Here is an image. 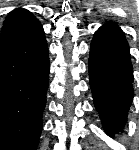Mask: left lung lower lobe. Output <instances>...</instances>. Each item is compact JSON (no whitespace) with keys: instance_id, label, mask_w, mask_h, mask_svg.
<instances>
[{"instance_id":"1","label":"left lung lower lobe","mask_w":139,"mask_h":150,"mask_svg":"<svg viewBox=\"0 0 139 150\" xmlns=\"http://www.w3.org/2000/svg\"><path fill=\"white\" fill-rule=\"evenodd\" d=\"M89 77L94 104L106 133L122 132L133 101L129 46L115 23L99 28L90 46Z\"/></svg>"}]
</instances>
